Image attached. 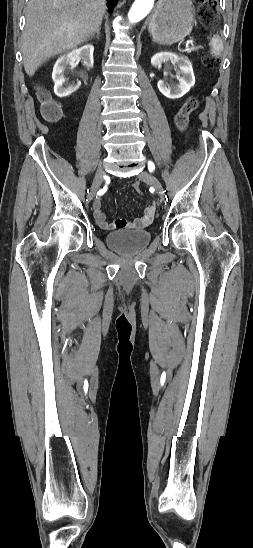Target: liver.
Wrapping results in <instances>:
<instances>
[{
  "instance_id": "1",
  "label": "liver",
  "mask_w": 253,
  "mask_h": 548,
  "mask_svg": "<svg viewBox=\"0 0 253 548\" xmlns=\"http://www.w3.org/2000/svg\"><path fill=\"white\" fill-rule=\"evenodd\" d=\"M106 9L105 0H30L21 45L27 75L86 42L100 29Z\"/></svg>"
}]
</instances>
